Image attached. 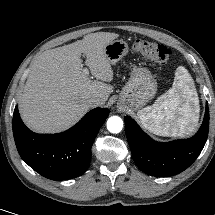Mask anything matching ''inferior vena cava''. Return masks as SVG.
<instances>
[{"instance_id":"inferior-vena-cava-1","label":"inferior vena cava","mask_w":215,"mask_h":215,"mask_svg":"<svg viewBox=\"0 0 215 215\" xmlns=\"http://www.w3.org/2000/svg\"><path fill=\"white\" fill-rule=\"evenodd\" d=\"M87 102L90 107L100 106L103 104L102 100L97 96L89 97Z\"/></svg>"}]
</instances>
